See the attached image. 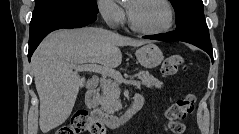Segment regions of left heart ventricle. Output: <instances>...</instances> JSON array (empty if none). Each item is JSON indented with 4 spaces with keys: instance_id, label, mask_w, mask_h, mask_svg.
I'll return each instance as SVG.
<instances>
[{
    "instance_id": "b2bd125f",
    "label": "left heart ventricle",
    "mask_w": 239,
    "mask_h": 134,
    "mask_svg": "<svg viewBox=\"0 0 239 134\" xmlns=\"http://www.w3.org/2000/svg\"><path fill=\"white\" fill-rule=\"evenodd\" d=\"M126 6L134 23L142 28L158 29L167 22V10L157 1L130 0Z\"/></svg>"
}]
</instances>
